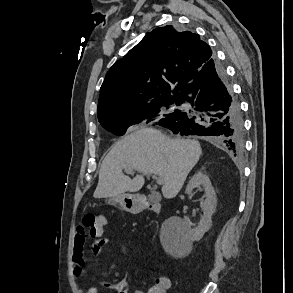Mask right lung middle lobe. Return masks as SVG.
Returning <instances> with one entry per match:
<instances>
[{
    "label": "right lung middle lobe",
    "instance_id": "dd1d6c3e",
    "mask_svg": "<svg viewBox=\"0 0 293 293\" xmlns=\"http://www.w3.org/2000/svg\"><path fill=\"white\" fill-rule=\"evenodd\" d=\"M174 102L175 100H166L143 110L132 113L110 114L98 118V120L102 127L108 131L117 135H123L132 124L140 123L145 119H148L147 122H149L164 118L171 112L168 106Z\"/></svg>",
    "mask_w": 293,
    "mask_h": 293
}]
</instances>
